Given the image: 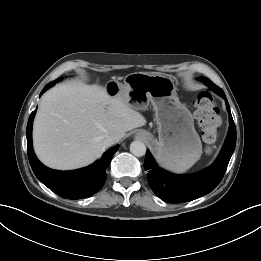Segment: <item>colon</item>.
I'll return each instance as SVG.
<instances>
[{
  "instance_id": "colon-1",
  "label": "colon",
  "mask_w": 261,
  "mask_h": 261,
  "mask_svg": "<svg viewBox=\"0 0 261 261\" xmlns=\"http://www.w3.org/2000/svg\"><path fill=\"white\" fill-rule=\"evenodd\" d=\"M194 106L195 118L204 142L214 143L218 137L221 119L212 96L208 92L199 93Z\"/></svg>"
}]
</instances>
